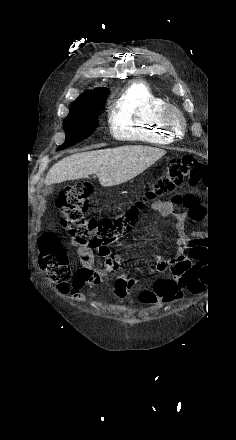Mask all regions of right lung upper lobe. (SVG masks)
<instances>
[{
    "instance_id": "cb5924a9",
    "label": "right lung upper lobe",
    "mask_w": 236,
    "mask_h": 440,
    "mask_svg": "<svg viewBox=\"0 0 236 440\" xmlns=\"http://www.w3.org/2000/svg\"><path fill=\"white\" fill-rule=\"evenodd\" d=\"M105 95H108L107 88H98L93 91H87V92L83 93L74 102L88 100V99H94V98H100Z\"/></svg>"
}]
</instances>
